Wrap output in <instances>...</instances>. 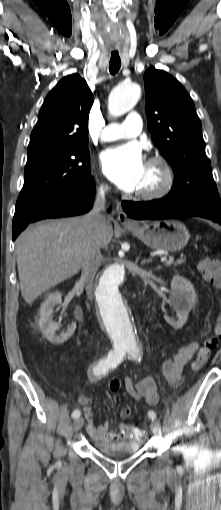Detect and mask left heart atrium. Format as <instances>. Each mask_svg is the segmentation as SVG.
I'll return each instance as SVG.
<instances>
[{
  "mask_svg": "<svg viewBox=\"0 0 221 510\" xmlns=\"http://www.w3.org/2000/svg\"><path fill=\"white\" fill-rule=\"evenodd\" d=\"M105 174L122 190L137 191L145 172V161L135 144L110 148L101 155Z\"/></svg>",
  "mask_w": 221,
  "mask_h": 510,
  "instance_id": "left-heart-atrium-1",
  "label": "left heart atrium"
}]
</instances>
